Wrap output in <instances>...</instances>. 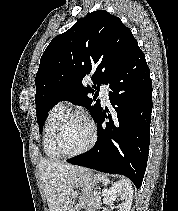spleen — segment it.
Here are the masks:
<instances>
[{
  "label": "spleen",
  "instance_id": "obj_1",
  "mask_svg": "<svg viewBox=\"0 0 178 211\" xmlns=\"http://www.w3.org/2000/svg\"><path fill=\"white\" fill-rule=\"evenodd\" d=\"M95 178H96L97 181L103 182L104 184L109 183V179L103 174H96Z\"/></svg>",
  "mask_w": 178,
  "mask_h": 211
}]
</instances>
